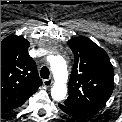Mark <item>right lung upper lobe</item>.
I'll use <instances>...</instances> for the list:
<instances>
[{"label":"right lung upper lobe","mask_w":122,"mask_h":122,"mask_svg":"<svg viewBox=\"0 0 122 122\" xmlns=\"http://www.w3.org/2000/svg\"><path fill=\"white\" fill-rule=\"evenodd\" d=\"M22 36H8L1 42V112L21 107L33 95L42 80Z\"/></svg>","instance_id":"1"}]
</instances>
